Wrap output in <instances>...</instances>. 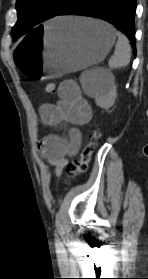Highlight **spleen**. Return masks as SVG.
Returning <instances> with one entry per match:
<instances>
[{
    "label": "spleen",
    "instance_id": "3e777b00",
    "mask_svg": "<svg viewBox=\"0 0 148 279\" xmlns=\"http://www.w3.org/2000/svg\"><path fill=\"white\" fill-rule=\"evenodd\" d=\"M116 34L118 41L114 54L109 61V67L111 69L126 67L130 62L131 56V47L127 37L120 32ZM95 73L96 70L83 72L80 77V82L89 95H102L106 92L107 86L96 77Z\"/></svg>",
    "mask_w": 148,
    "mask_h": 279
}]
</instances>
